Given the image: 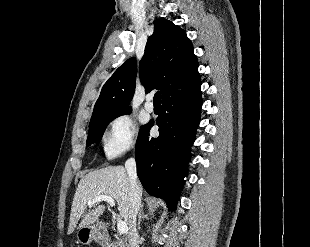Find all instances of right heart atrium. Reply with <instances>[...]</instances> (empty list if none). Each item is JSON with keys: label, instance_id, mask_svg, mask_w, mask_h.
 <instances>
[{"label": "right heart atrium", "instance_id": "right-heart-atrium-1", "mask_svg": "<svg viewBox=\"0 0 310 247\" xmlns=\"http://www.w3.org/2000/svg\"><path fill=\"white\" fill-rule=\"evenodd\" d=\"M136 123L129 115H120L113 119L103 138L105 155L115 158L132 150L136 143Z\"/></svg>", "mask_w": 310, "mask_h": 247}]
</instances>
